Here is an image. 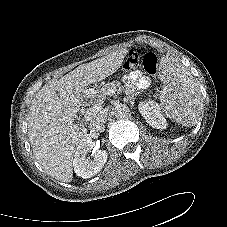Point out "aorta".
I'll list each match as a JSON object with an SVG mask.
<instances>
[{
  "instance_id": "aorta-1",
  "label": "aorta",
  "mask_w": 227,
  "mask_h": 227,
  "mask_svg": "<svg viewBox=\"0 0 227 227\" xmlns=\"http://www.w3.org/2000/svg\"><path fill=\"white\" fill-rule=\"evenodd\" d=\"M112 113L117 118H123L128 115L129 109L127 106H125L123 104H118L113 107Z\"/></svg>"
}]
</instances>
